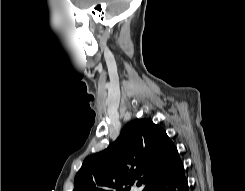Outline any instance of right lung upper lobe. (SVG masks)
Segmentation results:
<instances>
[{"label":"right lung upper lobe","mask_w":245,"mask_h":191,"mask_svg":"<svg viewBox=\"0 0 245 191\" xmlns=\"http://www.w3.org/2000/svg\"><path fill=\"white\" fill-rule=\"evenodd\" d=\"M180 166L178 151L166 132L149 119H136L107 149L84 160L73 191H128L135 181L145 184L143 191H151Z\"/></svg>","instance_id":"obj_1"}]
</instances>
